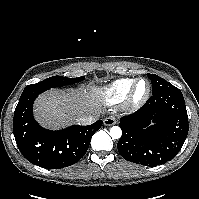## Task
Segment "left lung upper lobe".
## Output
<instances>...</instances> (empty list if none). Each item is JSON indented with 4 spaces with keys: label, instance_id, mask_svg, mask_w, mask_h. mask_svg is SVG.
<instances>
[{
    "label": "left lung upper lobe",
    "instance_id": "left-lung-upper-lobe-1",
    "mask_svg": "<svg viewBox=\"0 0 199 199\" xmlns=\"http://www.w3.org/2000/svg\"><path fill=\"white\" fill-rule=\"evenodd\" d=\"M152 83V95L168 92L177 89L175 86L167 82L165 79L155 75V74H147Z\"/></svg>",
    "mask_w": 199,
    "mask_h": 199
}]
</instances>
